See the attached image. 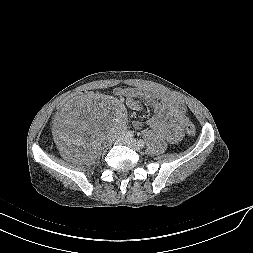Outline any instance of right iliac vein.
<instances>
[{
    "mask_svg": "<svg viewBox=\"0 0 253 253\" xmlns=\"http://www.w3.org/2000/svg\"><path fill=\"white\" fill-rule=\"evenodd\" d=\"M126 135H121L118 139L119 142H123V140L125 139Z\"/></svg>",
    "mask_w": 253,
    "mask_h": 253,
    "instance_id": "right-iliac-vein-1",
    "label": "right iliac vein"
}]
</instances>
